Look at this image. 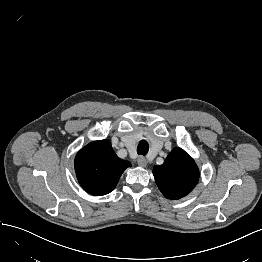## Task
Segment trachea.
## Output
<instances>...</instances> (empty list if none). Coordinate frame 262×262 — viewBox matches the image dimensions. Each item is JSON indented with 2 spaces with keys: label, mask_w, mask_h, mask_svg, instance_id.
Returning <instances> with one entry per match:
<instances>
[{
  "label": "trachea",
  "mask_w": 262,
  "mask_h": 262,
  "mask_svg": "<svg viewBox=\"0 0 262 262\" xmlns=\"http://www.w3.org/2000/svg\"><path fill=\"white\" fill-rule=\"evenodd\" d=\"M149 151V145L145 140L140 141V143L137 146V153L139 155H146Z\"/></svg>",
  "instance_id": "obj_1"
}]
</instances>
